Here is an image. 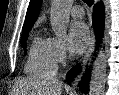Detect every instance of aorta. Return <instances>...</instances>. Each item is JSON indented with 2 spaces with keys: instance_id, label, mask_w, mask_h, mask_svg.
Instances as JSON below:
<instances>
[{
  "instance_id": "aorta-1",
  "label": "aorta",
  "mask_w": 119,
  "mask_h": 95,
  "mask_svg": "<svg viewBox=\"0 0 119 95\" xmlns=\"http://www.w3.org/2000/svg\"><path fill=\"white\" fill-rule=\"evenodd\" d=\"M74 0H52L51 24L58 38H65L70 19V9ZM107 70V55L100 48L93 64L89 95H104Z\"/></svg>"
}]
</instances>
